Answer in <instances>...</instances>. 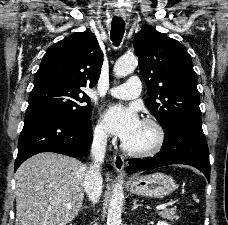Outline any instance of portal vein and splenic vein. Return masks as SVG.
Wrapping results in <instances>:
<instances>
[{
    "label": "portal vein and splenic vein",
    "mask_w": 228,
    "mask_h": 225,
    "mask_svg": "<svg viewBox=\"0 0 228 225\" xmlns=\"http://www.w3.org/2000/svg\"><path fill=\"white\" fill-rule=\"evenodd\" d=\"M180 200H166V204H157L156 208L157 209H166L167 205H169V207H176V205H180ZM71 205H67V209H70Z\"/></svg>",
    "instance_id": "1"
}]
</instances>
